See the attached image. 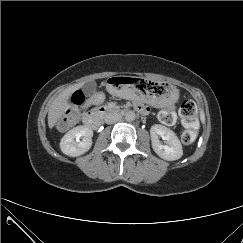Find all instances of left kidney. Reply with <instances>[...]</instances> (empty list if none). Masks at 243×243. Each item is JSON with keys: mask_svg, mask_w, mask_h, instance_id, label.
<instances>
[{"mask_svg": "<svg viewBox=\"0 0 243 243\" xmlns=\"http://www.w3.org/2000/svg\"><path fill=\"white\" fill-rule=\"evenodd\" d=\"M152 148L164 160H178L183 155L182 145L176 134L169 128L155 124L150 129ZM159 136L164 137L166 145L161 144Z\"/></svg>", "mask_w": 243, "mask_h": 243, "instance_id": "5707ae66", "label": "left kidney"}]
</instances>
